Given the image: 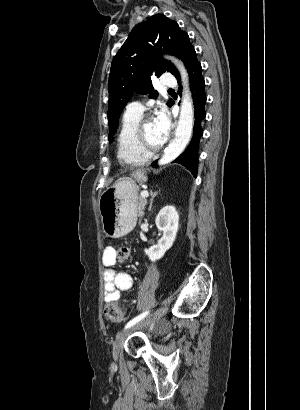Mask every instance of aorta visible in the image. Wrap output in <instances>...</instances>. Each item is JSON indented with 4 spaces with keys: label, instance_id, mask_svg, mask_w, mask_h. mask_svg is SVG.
Segmentation results:
<instances>
[{
    "label": "aorta",
    "instance_id": "obj_1",
    "mask_svg": "<svg viewBox=\"0 0 300 410\" xmlns=\"http://www.w3.org/2000/svg\"><path fill=\"white\" fill-rule=\"evenodd\" d=\"M178 68L182 82H183V95L181 102L180 116L175 130V137L173 141L164 150V154L159 160V165H165L175 160L188 145L193 130L194 123V108L191 93L188 84V74L184 65L177 59L169 57Z\"/></svg>",
    "mask_w": 300,
    "mask_h": 410
}]
</instances>
